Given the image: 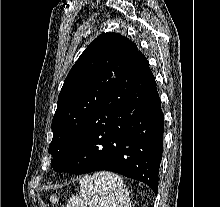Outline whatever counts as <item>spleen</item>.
Wrapping results in <instances>:
<instances>
[{
	"mask_svg": "<svg viewBox=\"0 0 220 207\" xmlns=\"http://www.w3.org/2000/svg\"><path fill=\"white\" fill-rule=\"evenodd\" d=\"M80 198L72 197L67 207H131L129 191L122 178L112 172H96L80 180Z\"/></svg>",
	"mask_w": 220,
	"mask_h": 207,
	"instance_id": "spleen-1",
	"label": "spleen"
}]
</instances>
